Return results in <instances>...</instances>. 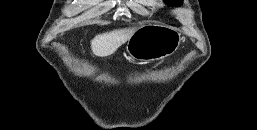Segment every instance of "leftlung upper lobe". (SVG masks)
I'll return each instance as SVG.
<instances>
[{"label":"left lung upper lobe","mask_w":257,"mask_h":130,"mask_svg":"<svg viewBox=\"0 0 257 130\" xmlns=\"http://www.w3.org/2000/svg\"><path fill=\"white\" fill-rule=\"evenodd\" d=\"M167 4L171 6H180L182 4V0H165Z\"/></svg>","instance_id":"1"}]
</instances>
